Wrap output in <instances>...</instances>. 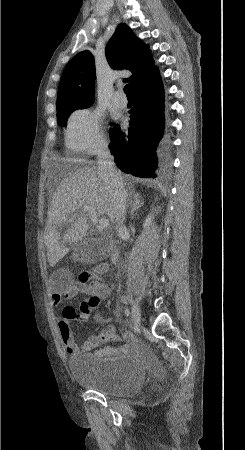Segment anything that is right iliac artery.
Segmentation results:
<instances>
[{
	"label": "right iliac artery",
	"instance_id": "1",
	"mask_svg": "<svg viewBox=\"0 0 245 450\" xmlns=\"http://www.w3.org/2000/svg\"><path fill=\"white\" fill-rule=\"evenodd\" d=\"M125 315L128 317L129 315H130V312H129V310L126 308L125 309Z\"/></svg>",
	"mask_w": 245,
	"mask_h": 450
}]
</instances>
